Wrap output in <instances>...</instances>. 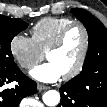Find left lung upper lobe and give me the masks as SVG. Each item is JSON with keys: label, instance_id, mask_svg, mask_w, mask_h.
<instances>
[{"label": "left lung upper lobe", "instance_id": "obj_1", "mask_svg": "<svg viewBox=\"0 0 107 107\" xmlns=\"http://www.w3.org/2000/svg\"><path fill=\"white\" fill-rule=\"evenodd\" d=\"M72 12L84 24L89 35V48L83 65V69L79 75L71 79V81L84 84L96 73H101L107 77V29L105 26L88 11L73 8ZM76 106V101L73 100Z\"/></svg>", "mask_w": 107, "mask_h": 107}]
</instances>
